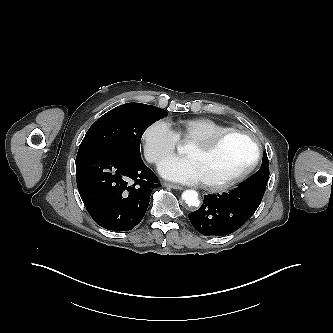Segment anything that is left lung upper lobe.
<instances>
[{"mask_svg":"<svg viewBox=\"0 0 333 333\" xmlns=\"http://www.w3.org/2000/svg\"><path fill=\"white\" fill-rule=\"evenodd\" d=\"M269 179V162L265 153L260 169L246 182L241 184L242 187H264L266 188Z\"/></svg>","mask_w":333,"mask_h":333,"instance_id":"obj_1","label":"left lung upper lobe"}]
</instances>
